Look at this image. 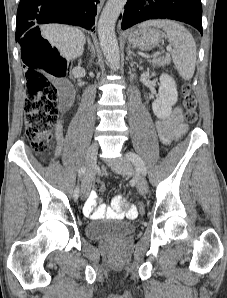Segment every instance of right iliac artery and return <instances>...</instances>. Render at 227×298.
I'll use <instances>...</instances> for the list:
<instances>
[{"mask_svg": "<svg viewBox=\"0 0 227 298\" xmlns=\"http://www.w3.org/2000/svg\"><path fill=\"white\" fill-rule=\"evenodd\" d=\"M86 172V167L85 166H82L80 169H79V172H78V176L81 177L85 174ZM79 196V187L77 186L76 189L74 190V194H73V197L74 199H77Z\"/></svg>", "mask_w": 227, "mask_h": 298, "instance_id": "82829eb1", "label": "right iliac artery"}]
</instances>
